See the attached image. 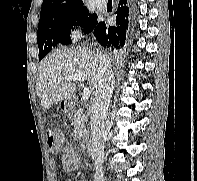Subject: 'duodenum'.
I'll return each mask as SVG.
<instances>
[{"label":"duodenum","mask_w":197,"mask_h":181,"mask_svg":"<svg viewBox=\"0 0 197 181\" xmlns=\"http://www.w3.org/2000/svg\"><path fill=\"white\" fill-rule=\"evenodd\" d=\"M66 108H67L68 110H73V109H74V103L71 102V101L67 102V103H66ZM86 154H87L88 156H90V157L93 156V151H92V149H91V148H87Z\"/></svg>","instance_id":"1"}]
</instances>
